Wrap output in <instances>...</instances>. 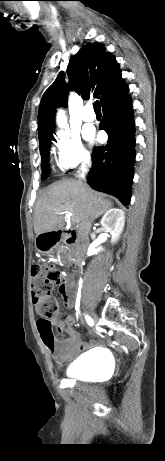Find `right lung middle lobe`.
Masks as SVG:
<instances>
[{"label": "right lung middle lobe", "instance_id": "right-lung-middle-lobe-1", "mask_svg": "<svg viewBox=\"0 0 165 461\" xmlns=\"http://www.w3.org/2000/svg\"><path fill=\"white\" fill-rule=\"evenodd\" d=\"M53 133L54 132H48L45 133L44 136L39 138V148L41 152V157H42V179H45L48 175V156H49V147L51 140H54L53 138Z\"/></svg>", "mask_w": 165, "mask_h": 461}]
</instances>
